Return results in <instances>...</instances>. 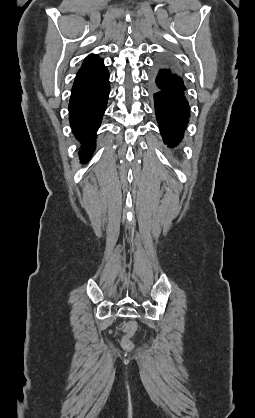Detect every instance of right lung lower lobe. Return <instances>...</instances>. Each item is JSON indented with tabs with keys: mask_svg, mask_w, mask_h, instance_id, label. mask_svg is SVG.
Returning a JSON list of instances; mask_svg holds the SVG:
<instances>
[{
	"mask_svg": "<svg viewBox=\"0 0 255 418\" xmlns=\"http://www.w3.org/2000/svg\"><path fill=\"white\" fill-rule=\"evenodd\" d=\"M110 91L109 73L103 59L86 60L79 69L69 102V120L86 161L94 150L96 132L100 126Z\"/></svg>",
	"mask_w": 255,
	"mask_h": 418,
	"instance_id": "right-lung-lower-lobe-1",
	"label": "right lung lower lobe"
}]
</instances>
